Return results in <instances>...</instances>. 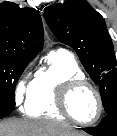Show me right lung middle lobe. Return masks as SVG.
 I'll return each mask as SVG.
<instances>
[{
  "instance_id": "dd1d6c3e",
  "label": "right lung middle lobe",
  "mask_w": 117,
  "mask_h": 136,
  "mask_svg": "<svg viewBox=\"0 0 117 136\" xmlns=\"http://www.w3.org/2000/svg\"><path fill=\"white\" fill-rule=\"evenodd\" d=\"M30 60L0 56V100L15 102V86Z\"/></svg>"
}]
</instances>
